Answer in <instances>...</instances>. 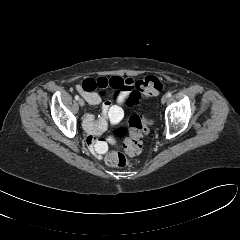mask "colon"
Returning <instances> with one entry per match:
<instances>
[{
	"label": "colon",
	"instance_id": "colon-1",
	"mask_svg": "<svg viewBox=\"0 0 240 240\" xmlns=\"http://www.w3.org/2000/svg\"><path fill=\"white\" fill-rule=\"evenodd\" d=\"M164 88L163 82L155 76H146L135 82L133 92L127 99L128 106L138 103L139 99L159 94ZM151 122L142 114L130 116L126 126H121L113 131V136L120 141L127 155L135 156L142 150V138L149 131ZM106 162L117 168L126 167L129 163L128 157L117 150H112L106 155Z\"/></svg>",
	"mask_w": 240,
	"mask_h": 240
}]
</instances>
